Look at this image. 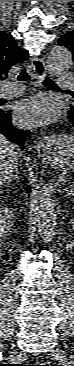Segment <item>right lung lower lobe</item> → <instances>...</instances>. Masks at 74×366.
Here are the masks:
<instances>
[{"mask_svg":"<svg viewBox=\"0 0 74 366\" xmlns=\"http://www.w3.org/2000/svg\"><path fill=\"white\" fill-rule=\"evenodd\" d=\"M29 134L30 131H24L14 127L11 122L10 112H4L0 109V135H4L7 139L17 143L22 148Z\"/></svg>","mask_w":74,"mask_h":366,"instance_id":"98d812e1","label":"right lung lower lobe"}]
</instances>
